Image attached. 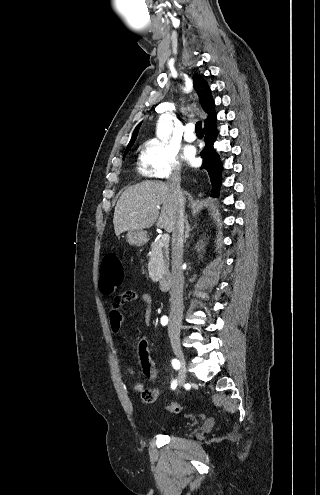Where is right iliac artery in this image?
Wrapping results in <instances>:
<instances>
[{
	"instance_id": "1",
	"label": "right iliac artery",
	"mask_w": 320,
	"mask_h": 495,
	"mask_svg": "<svg viewBox=\"0 0 320 495\" xmlns=\"http://www.w3.org/2000/svg\"><path fill=\"white\" fill-rule=\"evenodd\" d=\"M160 322H161V324H162L163 326H166V325H167V323H168V317H167V316H162V317H161V319H160ZM172 366H173V368H174L175 370H178V369L180 368V362H179V360H177L176 358H174V359L172 360ZM176 386H177V381H176V380H174V381L172 382V384H171V388H172V389H175V388H176Z\"/></svg>"
}]
</instances>
